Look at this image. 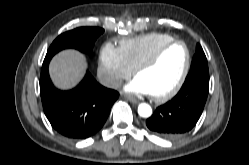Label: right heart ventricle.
Here are the masks:
<instances>
[{"label":"right heart ventricle","instance_id":"e07e8e85","mask_svg":"<svg viewBox=\"0 0 249 165\" xmlns=\"http://www.w3.org/2000/svg\"><path fill=\"white\" fill-rule=\"evenodd\" d=\"M172 40L174 37L167 33L152 32L120 41L119 49L127 65L134 70L161 45Z\"/></svg>","mask_w":249,"mask_h":165}]
</instances>
